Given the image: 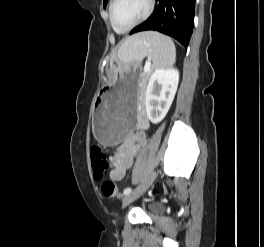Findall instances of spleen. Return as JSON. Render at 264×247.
I'll return each mask as SVG.
<instances>
[{"mask_svg": "<svg viewBox=\"0 0 264 247\" xmlns=\"http://www.w3.org/2000/svg\"><path fill=\"white\" fill-rule=\"evenodd\" d=\"M118 57L124 68L138 67L145 57L152 60L153 68L170 67L176 60V48L169 37L149 31L127 40L119 49Z\"/></svg>", "mask_w": 264, "mask_h": 247, "instance_id": "3e777b00", "label": "spleen"}]
</instances>
